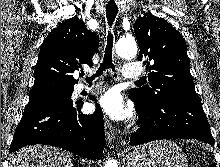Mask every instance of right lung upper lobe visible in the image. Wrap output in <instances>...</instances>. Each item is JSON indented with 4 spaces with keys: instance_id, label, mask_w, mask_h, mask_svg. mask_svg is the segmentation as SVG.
Returning <instances> with one entry per match:
<instances>
[{
    "instance_id": "cb5924a9",
    "label": "right lung upper lobe",
    "mask_w": 220,
    "mask_h": 167,
    "mask_svg": "<svg viewBox=\"0 0 220 167\" xmlns=\"http://www.w3.org/2000/svg\"><path fill=\"white\" fill-rule=\"evenodd\" d=\"M98 46L97 34L87 30L82 20L73 17L61 23L40 48L30 100L74 90L78 81L72 74L82 64L92 65Z\"/></svg>"
}]
</instances>
